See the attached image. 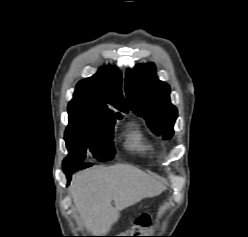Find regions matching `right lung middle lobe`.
<instances>
[{"label":"right lung middle lobe","instance_id":"obj_1","mask_svg":"<svg viewBox=\"0 0 248 237\" xmlns=\"http://www.w3.org/2000/svg\"><path fill=\"white\" fill-rule=\"evenodd\" d=\"M68 113L65 141L69 154L63 161V167L79 165L87 152L92 153L97 161L112 159L115 154L111 144L115 116H95L69 107Z\"/></svg>","mask_w":248,"mask_h":237}]
</instances>
